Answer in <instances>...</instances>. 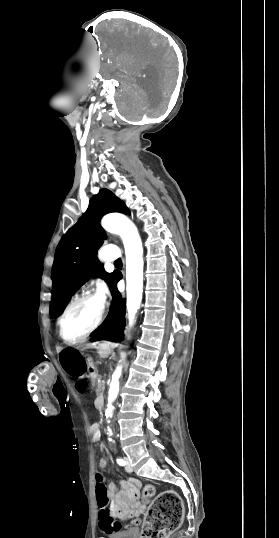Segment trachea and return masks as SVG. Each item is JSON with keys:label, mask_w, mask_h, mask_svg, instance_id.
<instances>
[{"label": "trachea", "mask_w": 279, "mask_h": 538, "mask_svg": "<svg viewBox=\"0 0 279 538\" xmlns=\"http://www.w3.org/2000/svg\"><path fill=\"white\" fill-rule=\"evenodd\" d=\"M114 264H122V260H121L120 258H118V260H116V261L114 262Z\"/></svg>", "instance_id": "3493384b"}]
</instances>
